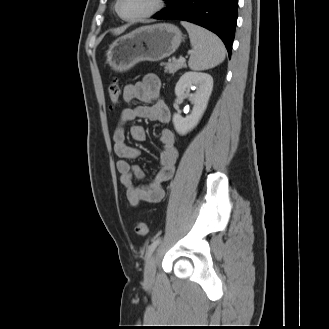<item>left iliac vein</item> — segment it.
I'll use <instances>...</instances> for the list:
<instances>
[{
    "instance_id": "1",
    "label": "left iliac vein",
    "mask_w": 329,
    "mask_h": 329,
    "mask_svg": "<svg viewBox=\"0 0 329 329\" xmlns=\"http://www.w3.org/2000/svg\"><path fill=\"white\" fill-rule=\"evenodd\" d=\"M156 274V255L153 254L149 257L144 272L145 281L151 283L155 279Z\"/></svg>"
}]
</instances>
